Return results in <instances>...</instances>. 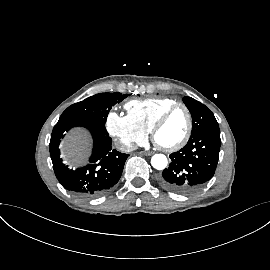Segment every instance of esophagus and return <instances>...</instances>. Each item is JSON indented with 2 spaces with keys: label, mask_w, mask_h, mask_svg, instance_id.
Returning <instances> with one entry per match:
<instances>
[{
  "label": "esophagus",
  "mask_w": 270,
  "mask_h": 270,
  "mask_svg": "<svg viewBox=\"0 0 270 270\" xmlns=\"http://www.w3.org/2000/svg\"><path fill=\"white\" fill-rule=\"evenodd\" d=\"M142 153L146 156H151L153 154V152L150 151H143Z\"/></svg>",
  "instance_id": "obj_1"
}]
</instances>
